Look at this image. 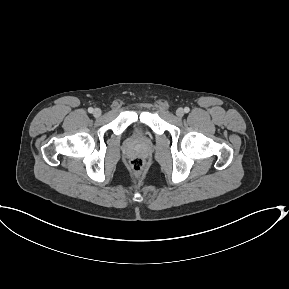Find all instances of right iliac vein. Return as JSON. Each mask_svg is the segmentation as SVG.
<instances>
[{
    "label": "right iliac vein",
    "mask_w": 289,
    "mask_h": 289,
    "mask_svg": "<svg viewBox=\"0 0 289 289\" xmlns=\"http://www.w3.org/2000/svg\"><path fill=\"white\" fill-rule=\"evenodd\" d=\"M101 110L99 108H96L94 111H93V115L95 117H99L101 115Z\"/></svg>",
    "instance_id": "1"
}]
</instances>
